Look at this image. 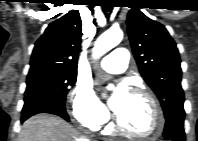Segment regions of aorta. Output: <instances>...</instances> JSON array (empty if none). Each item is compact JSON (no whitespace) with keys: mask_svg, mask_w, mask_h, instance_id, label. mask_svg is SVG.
<instances>
[{"mask_svg":"<svg viewBox=\"0 0 198 141\" xmlns=\"http://www.w3.org/2000/svg\"><path fill=\"white\" fill-rule=\"evenodd\" d=\"M123 39V31L119 28H111L98 37L93 48V57H101L106 52L116 47ZM111 88V87H110Z\"/></svg>","mask_w":198,"mask_h":141,"instance_id":"obj_1","label":"aorta"}]
</instances>
